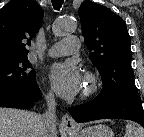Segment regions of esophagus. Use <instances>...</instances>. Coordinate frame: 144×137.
<instances>
[{
	"mask_svg": "<svg viewBox=\"0 0 144 137\" xmlns=\"http://www.w3.org/2000/svg\"><path fill=\"white\" fill-rule=\"evenodd\" d=\"M61 125L67 131H72L79 127L76 121L68 114L62 117Z\"/></svg>",
	"mask_w": 144,
	"mask_h": 137,
	"instance_id": "esophagus-1",
	"label": "esophagus"
}]
</instances>
